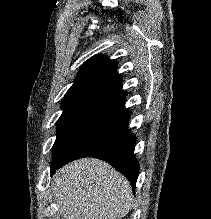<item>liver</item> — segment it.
Instances as JSON below:
<instances>
[{"mask_svg":"<svg viewBox=\"0 0 211 219\" xmlns=\"http://www.w3.org/2000/svg\"><path fill=\"white\" fill-rule=\"evenodd\" d=\"M53 193L63 219H120L133 202L128 180L95 158L79 159L58 170Z\"/></svg>","mask_w":211,"mask_h":219,"instance_id":"obj_1","label":"liver"}]
</instances>
